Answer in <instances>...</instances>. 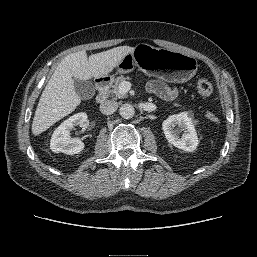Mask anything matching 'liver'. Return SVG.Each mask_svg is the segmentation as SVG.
<instances>
[{
	"label": "liver",
	"instance_id": "1",
	"mask_svg": "<svg viewBox=\"0 0 257 257\" xmlns=\"http://www.w3.org/2000/svg\"><path fill=\"white\" fill-rule=\"evenodd\" d=\"M133 50L130 46H119L90 55L89 58L85 51L66 56L43 90L33 118L32 133L39 135L46 131L81 103L75 91L74 79L87 81L107 76Z\"/></svg>",
	"mask_w": 257,
	"mask_h": 257
}]
</instances>
